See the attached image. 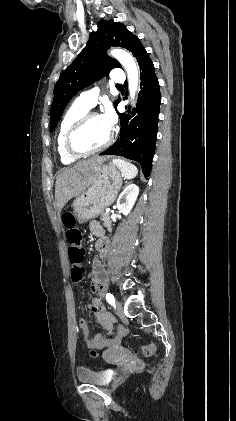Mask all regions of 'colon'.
Listing matches in <instances>:
<instances>
[{
	"label": "colon",
	"mask_w": 236,
	"mask_h": 421,
	"mask_svg": "<svg viewBox=\"0 0 236 421\" xmlns=\"http://www.w3.org/2000/svg\"><path fill=\"white\" fill-rule=\"evenodd\" d=\"M62 222L67 228V241H68V255L71 268V279L74 283H79L84 275L85 269L81 266V262L84 258L85 250L82 246V234L76 227V219L71 211H66L62 215ZM156 346L153 342L142 345L138 349V353L149 357L155 353ZM93 357L96 356L95 351H91Z\"/></svg>",
	"instance_id": "obj_1"
}]
</instances>
